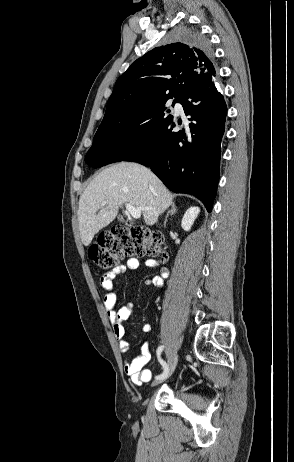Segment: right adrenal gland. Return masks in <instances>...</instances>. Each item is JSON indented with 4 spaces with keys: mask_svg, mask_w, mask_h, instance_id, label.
I'll use <instances>...</instances> for the list:
<instances>
[{
    "mask_svg": "<svg viewBox=\"0 0 294 462\" xmlns=\"http://www.w3.org/2000/svg\"><path fill=\"white\" fill-rule=\"evenodd\" d=\"M176 212H177V207H176V205H175L174 203H172V204H171V209L168 210V212H167V214H166V216H165L164 226H166V222H167L168 217H169L170 215L176 214Z\"/></svg>",
    "mask_w": 294,
    "mask_h": 462,
    "instance_id": "1",
    "label": "right adrenal gland"
}]
</instances>
